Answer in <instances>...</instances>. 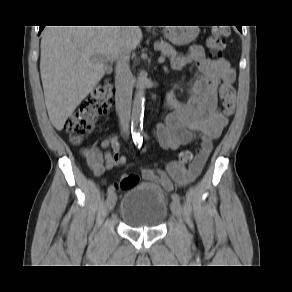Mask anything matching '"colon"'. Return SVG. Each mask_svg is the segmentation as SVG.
<instances>
[{"mask_svg": "<svg viewBox=\"0 0 292 292\" xmlns=\"http://www.w3.org/2000/svg\"><path fill=\"white\" fill-rule=\"evenodd\" d=\"M229 34L228 25H217L207 39V47L213 56L221 58L225 48V37ZM219 96L222 102L223 115L231 116L235 111L236 93L232 84L222 83L219 88ZM113 104V86L105 81L94 88L91 95L83 103L80 109L72 115L65 124V130L71 143L79 145L83 143L95 128L97 121L107 115ZM196 152L184 150L179 154L177 162L182 165L191 163L196 158ZM139 178L135 174H126L121 177L119 187L127 190L136 186Z\"/></svg>", "mask_w": 292, "mask_h": 292, "instance_id": "1", "label": "colon"}]
</instances>
